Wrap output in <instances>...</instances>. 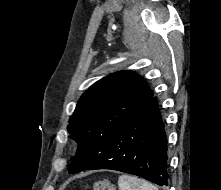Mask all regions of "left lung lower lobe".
Here are the masks:
<instances>
[{"label": "left lung lower lobe", "mask_w": 221, "mask_h": 190, "mask_svg": "<svg viewBox=\"0 0 221 190\" xmlns=\"http://www.w3.org/2000/svg\"><path fill=\"white\" fill-rule=\"evenodd\" d=\"M167 150L164 123L153 96L118 128L88 170L112 169L168 185Z\"/></svg>", "instance_id": "0a47b994"}]
</instances>
